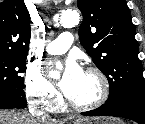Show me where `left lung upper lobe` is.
Instances as JSON below:
<instances>
[{"mask_svg": "<svg viewBox=\"0 0 145 124\" xmlns=\"http://www.w3.org/2000/svg\"><path fill=\"white\" fill-rule=\"evenodd\" d=\"M83 14L79 39L110 85L106 103L124 97L145 101L135 26L125 0H77Z\"/></svg>", "mask_w": 145, "mask_h": 124, "instance_id": "1", "label": "left lung upper lobe"}]
</instances>
